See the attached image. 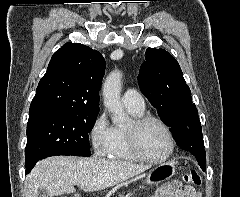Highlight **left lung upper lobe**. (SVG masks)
<instances>
[{"instance_id":"obj_1","label":"left lung upper lobe","mask_w":240,"mask_h":197,"mask_svg":"<svg viewBox=\"0 0 240 197\" xmlns=\"http://www.w3.org/2000/svg\"><path fill=\"white\" fill-rule=\"evenodd\" d=\"M145 54L146 61L138 76L141 92L158 109L177 144L190 151L197 161H205L198 111L177 60L161 48H147Z\"/></svg>"}]
</instances>
